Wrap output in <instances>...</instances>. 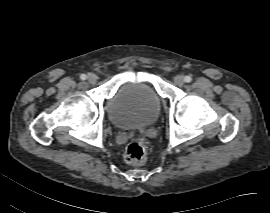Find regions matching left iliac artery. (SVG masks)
Masks as SVG:
<instances>
[{
	"label": "left iliac artery",
	"instance_id": "obj_1",
	"mask_svg": "<svg viewBox=\"0 0 270 213\" xmlns=\"http://www.w3.org/2000/svg\"><path fill=\"white\" fill-rule=\"evenodd\" d=\"M184 81L187 83L191 82L192 81L191 76H185Z\"/></svg>",
	"mask_w": 270,
	"mask_h": 213
}]
</instances>
